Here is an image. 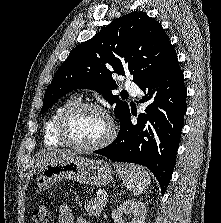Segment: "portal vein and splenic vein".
Returning a JSON list of instances; mask_svg holds the SVG:
<instances>
[{
	"mask_svg": "<svg viewBox=\"0 0 221 223\" xmlns=\"http://www.w3.org/2000/svg\"><path fill=\"white\" fill-rule=\"evenodd\" d=\"M102 195L107 197L108 193L107 192H102Z\"/></svg>",
	"mask_w": 221,
	"mask_h": 223,
	"instance_id": "1",
	"label": "portal vein and splenic vein"
}]
</instances>
